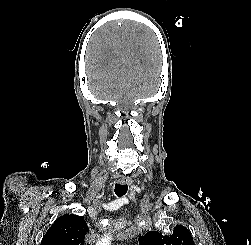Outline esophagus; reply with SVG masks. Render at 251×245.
Segmentation results:
<instances>
[{"label": "esophagus", "mask_w": 251, "mask_h": 245, "mask_svg": "<svg viewBox=\"0 0 251 245\" xmlns=\"http://www.w3.org/2000/svg\"><path fill=\"white\" fill-rule=\"evenodd\" d=\"M119 182L121 184H131L132 183L131 180H129V179H120Z\"/></svg>", "instance_id": "34e87169"}]
</instances>
